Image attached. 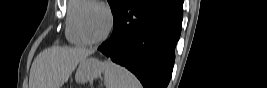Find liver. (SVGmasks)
Wrapping results in <instances>:
<instances>
[{"instance_id": "1", "label": "liver", "mask_w": 267, "mask_h": 88, "mask_svg": "<svg viewBox=\"0 0 267 88\" xmlns=\"http://www.w3.org/2000/svg\"><path fill=\"white\" fill-rule=\"evenodd\" d=\"M92 53V50L82 48L45 49L32 64L29 88H60L68 81L77 64Z\"/></svg>"}]
</instances>
